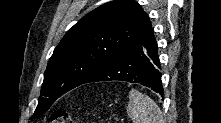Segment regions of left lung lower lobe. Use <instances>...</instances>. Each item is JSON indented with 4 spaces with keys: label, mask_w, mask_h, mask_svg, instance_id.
I'll list each match as a JSON object with an SVG mask.
<instances>
[{
    "label": "left lung lower lobe",
    "mask_w": 221,
    "mask_h": 123,
    "mask_svg": "<svg viewBox=\"0 0 221 123\" xmlns=\"http://www.w3.org/2000/svg\"><path fill=\"white\" fill-rule=\"evenodd\" d=\"M160 68L157 42L150 27L137 42L106 63L84 83L121 80L142 84L163 96Z\"/></svg>",
    "instance_id": "1"
}]
</instances>
